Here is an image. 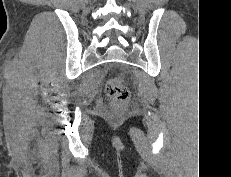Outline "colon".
Instances as JSON below:
<instances>
[{
    "label": "colon",
    "instance_id": "colon-1",
    "mask_svg": "<svg viewBox=\"0 0 231 177\" xmlns=\"http://www.w3.org/2000/svg\"><path fill=\"white\" fill-rule=\"evenodd\" d=\"M106 93L118 108L122 107L130 98L129 89L120 78H113L107 82Z\"/></svg>",
    "mask_w": 231,
    "mask_h": 177
}]
</instances>
